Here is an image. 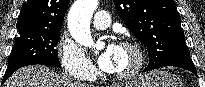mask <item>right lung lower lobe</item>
Masks as SVG:
<instances>
[{"mask_svg": "<svg viewBox=\"0 0 205 87\" xmlns=\"http://www.w3.org/2000/svg\"><path fill=\"white\" fill-rule=\"evenodd\" d=\"M32 64H37L35 62H30V61H16L8 64L7 70L5 72V75L2 79V84L9 78V76L16 71L17 69L27 66V65H32Z\"/></svg>", "mask_w": 205, "mask_h": 87, "instance_id": "98d812e1", "label": "right lung lower lobe"}]
</instances>
